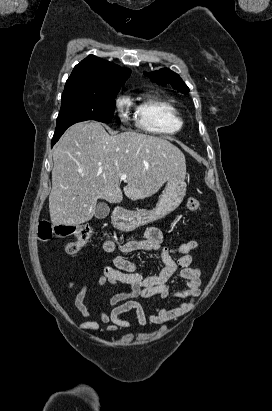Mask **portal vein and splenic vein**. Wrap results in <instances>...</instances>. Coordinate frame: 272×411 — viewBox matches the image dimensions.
<instances>
[{
  "label": "portal vein and splenic vein",
  "instance_id": "1",
  "mask_svg": "<svg viewBox=\"0 0 272 411\" xmlns=\"http://www.w3.org/2000/svg\"><path fill=\"white\" fill-rule=\"evenodd\" d=\"M127 179V175L126 174H121L120 175V180H126Z\"/></svg>",
  "mask_w": 272,
  "mask_h": 411
}]
</instances>
